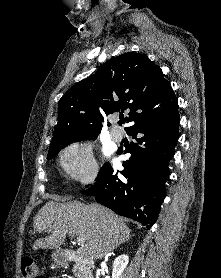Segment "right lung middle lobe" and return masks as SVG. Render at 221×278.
<instances>
[{
  "label": "right lung middle lobe",
  "instance_id": "obj_1",
  "mask_svg": "<svg viewBox=\"0 0 221 278\" xmlns=\"http://www.w3.org/2000/svg\"><path fill=\"white\" fill-rule=\"evenodd\" d=\"M98 135H91V136H87V137H83V138H80L78 140H75L73 142H76V141H81V140H86V139H95ZM71 142H67V143H63V144H59V145H56L52 148H49V152H48V156H47V159H52L54 158V156L63 148L65 147L66 145L70 144Z\"/></svg>",
  "mask_w": 221,
  "mask_h": 278
}]
</instances>
